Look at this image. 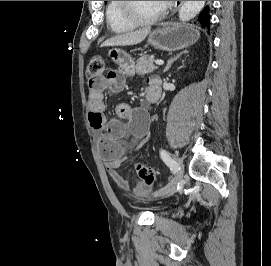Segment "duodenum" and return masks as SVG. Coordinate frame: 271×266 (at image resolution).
<instances>
[{"label": "duodenum", "mask_w": 271, "mask_h": 266, "mask_svg": "<svg viewBox=\"0 0 271 266\" xmlns=\"http://www.w3.org/2000/svg\"><path fill=\"white\" fill-rule=\"evenodd\" d=\"M160 95H161V90L159 86L153 83L150 84L146 92L147 101L150 103H153L159 99Z\"/></svg>", "instance_id": "410a0bca"}]
</instances>
